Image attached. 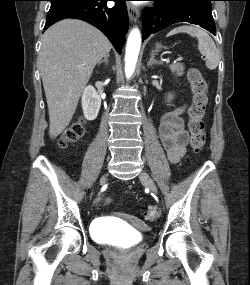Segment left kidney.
<instances>
[{
    "mask_svg": "<svg viewBox=\"0 0 250 285\" xmlns=\"http://www.w3.org/2000/svg\"><path fill=\"white\" fill-rule=\"evenodd\" d=\"M172 99V95H168V100H171Z\"/></svg>",
    "mask_w": 250,
    "mask_h": 285,
    "instance_id": "1",
    "label": "left kidney"
}]
</instances>
